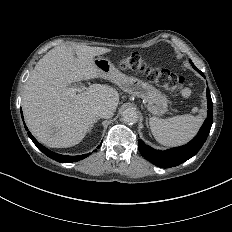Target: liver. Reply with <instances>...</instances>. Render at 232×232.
<instances>
[{
    "label": "liver",
    "instance_id": "obj_1",
    "mask_svg": "<svg viewBox=\"0 0 232 232\" xmlns=\"http://www.w3.org/2000/svg\"><path fill=\"white\" fill-rule=\"evenodd\" d=\"M110 51L104 47L61 45L38 61L24 87L22 109L29 130L39 142L52 148L75 146L97 122L95 108L104 105L116 109L119 94L111 86L92 84L74 96L68 87L73 82L100 77L93 59Z\"/></svg>",
    "mask_w": 232,
    "mask_h": 232
}]
</instances>
